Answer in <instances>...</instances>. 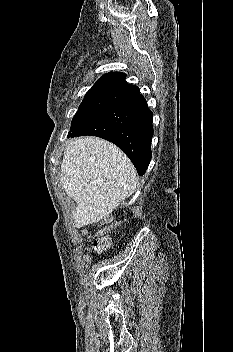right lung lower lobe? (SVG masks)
Returning <instances> with one entry per match:
<instances>
[{
    "instance_id": "1",
    "label": "right lung lower lobe",
    "mask_w": 233,
    "mask_h": 352,
    "mask_svg": "<svg viewBox=\"0 0 233 352\" xmlns=\"http://www.w3.org/2000/svg\"><path fill=\"white\" fill-rule=\"evenodd\" d=\"M153 113L145 98L134 96L105 110L68 137L97 136L121 148L132 161L139 175H143L151 160Z\"/></svg>"
}]
</instances>
